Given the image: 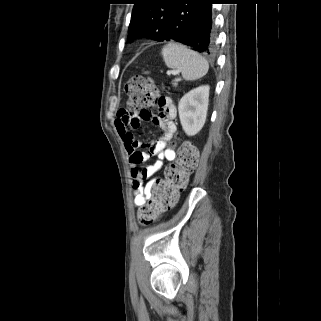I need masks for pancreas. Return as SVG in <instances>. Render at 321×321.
<instances>
[{
	"mask_svg": "<svg viewBox=\"0 0 321 321\" xmlns=\"http://www.w3.org/2000/svg\"><path fill=\"white\" fill-rule=\"evenodd\" d=\"M172 84H173L174 86H176V85H177V81L175 80Z\"/></svg>",
	"mask_w": 321,
	"mask_h": 321,
	"instance_id": "1",
	"label": "pancreas"
}]
</instances>
